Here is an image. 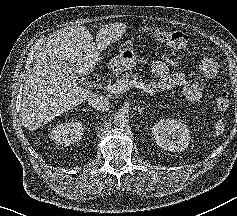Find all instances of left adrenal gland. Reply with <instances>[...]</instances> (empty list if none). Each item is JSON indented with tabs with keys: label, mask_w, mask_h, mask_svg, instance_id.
Returning <instances> with one entry per match:
<instances>
[{
	"label": "left adrenal gland",
	"mask_w": 237,
	"mask_h": 216,
	"mask_svg": "<svg viewBox=\"0 0 237 216\" xmlns=\"http://www.w3.org/2000/svg\"><path fill=\"white\" fill-rule=\"evenodd\" d=\"M143 109H144V108H140V109H139V112H141Z\"/></svg>",
	"instance_id": "left-adrenal-gland-1"
}]
</instances>
